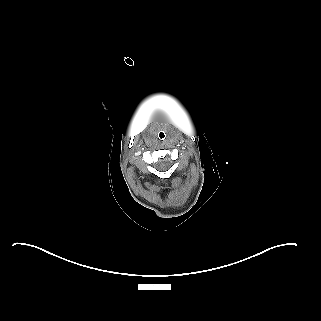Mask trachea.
<instances>
[{"mask_svg":"<svg viewBox=\"0 0 321 321\" xmlns=\"http://www.w3.org/2000/svg\"><path fill=\"white\" fill-rule=\"evenodd\" d=\"M165 134H166L165 131L162 130L159 132L158 136H159V138L162 139V138H164Z\"/></svg>","mask_w":321,"mask_h":321,"instance_id":"trachea-1","label":"trachea"}]
</instances>
